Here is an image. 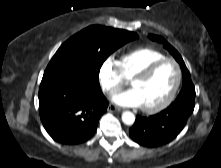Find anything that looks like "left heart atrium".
Masks as SVG:
<instances>
[{
    "label": "left heart atrium",
    "instance_id": "39dd6f15",
    "mask_svg": "<svg viewBox=\"0 0 221 168\" xmlns=\"http://www.w3.org/2000/svg\"><path fill=\"white\" fill-rule=\"evenodd\" d=\"M113 102L121 106L139 107L142 106L141 98L135 89L116 94L112 97Z\"/></svg>",
    "mask_w": 221,
    "mask_h": 168
}]
</instances>
